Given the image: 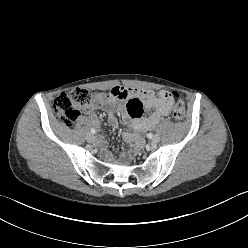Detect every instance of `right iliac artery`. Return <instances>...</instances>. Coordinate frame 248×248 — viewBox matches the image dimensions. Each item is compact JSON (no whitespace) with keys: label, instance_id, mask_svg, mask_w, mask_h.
Returning a JSON list of instances; mask_svg holds the SVG:
<instances>
[{"label":"right iliac artery","instance_id":"obj_1","mask_svg":"<svg viewBox=\"0 0 248 248\" xmlns=\"http://www.w3.org/2000/svg\"><path fill=\"white\" fill-rule=\"evenodd\" d=\"M91 133H92V134H95V133H96V130L92 128V129H91Z\"/></svg>","mask_w":248,"mask_h":248}]
</instances>
